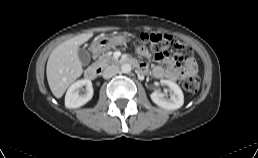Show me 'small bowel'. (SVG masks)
I'll return each instance as SVG.
<instances>
[{
    "mask_svg": "<svg viewBox=\"0 0 258 158\" xmlns=\"http://www.w3.org/2000/svg\"><path fill=\"white\" fill-rule=\"evenodd\" d=\"M139 52L142 56L148 57L149 51L146 48H140ZM156 59L163 63L165 66L157 65L152 69L153 77L157 79H167L175 82L186 78L190 74H194L197 71V65L194 60H191L186 68L181 69L170 57L166 55H157ZM140 70L142 73H147L148 65L146 62L140 64Z\"/></svg>",
    "mask_w": 258,
    "mask_h": 158,
    "instance_id": "obj_1",
    "label": "small bowel"
}]
</instances>
